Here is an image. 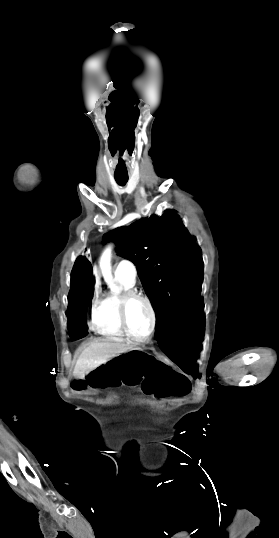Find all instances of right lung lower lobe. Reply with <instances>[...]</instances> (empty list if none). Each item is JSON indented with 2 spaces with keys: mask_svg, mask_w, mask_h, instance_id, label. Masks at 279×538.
Returning <instances> with one entry per match:
<instances>
[{
  "mask_svg": "<svg viewBox=\"0 0 279 538\" xmlns=\"http://www.w3.org/2000/svg\"><path fill=\"white\" fill-rule=\"evenodd\" d=\"M68 295V333L70 336L87 335L86 308L93 298L92 266L85 257H79L71 273Z\"/></svg>",
  "mask_w": 279,
  "mask_h": 538,
  "instance_id": "right-lung-lower-lobe-1",
  "label": "right lung lower lobe"
}]
</instances>
